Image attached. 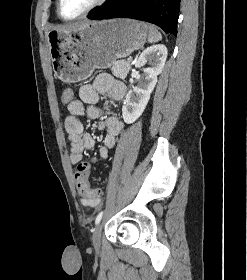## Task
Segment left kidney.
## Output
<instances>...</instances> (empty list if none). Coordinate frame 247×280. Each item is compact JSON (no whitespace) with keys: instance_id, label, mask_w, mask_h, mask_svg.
I'll return each mask as SVG.
<instances>
[{"instance_id":"obj_1","label":"left kidney","mask_w":247,"mask_h":280,"mask_svg":"<svg viewBox=\"0 0 247 280\" xmlns=\"http://www.w3.org/2000/svg\"><path fill=\"white\" fill-rule=\"evenodd\" d=\"M167 53L166 46L158 44L148 47L139 56L135 67L141 69L147 62H149L150 67L143 68L144 78L140 79L138 85L133 87L126 95L122 107V116L125 123L135 122L144 112L157 83V76L164 68Z\"/></svg>"}]
</instances>
